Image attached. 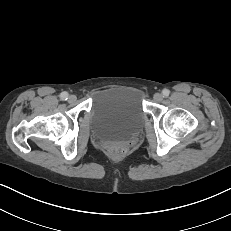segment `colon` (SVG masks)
<instances>
[{"mask_svg": "<svg viewBox=\"0 0 231 231\" xmlns=\"http://www.w3.org/2000/svg\"><path fill=\"white\" fill-rule=\"evenodd\" d=\"M109 152L116 157L122 156L127 151V145L124 143H112L108 147Z\"/></svg>", "mask_w": 231, "mask_h": 231, "instance_id": "5ec220e1", "label": "colon"}]
</instances>
